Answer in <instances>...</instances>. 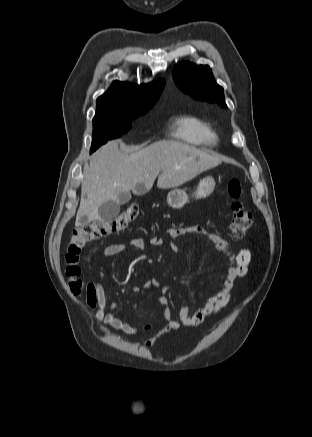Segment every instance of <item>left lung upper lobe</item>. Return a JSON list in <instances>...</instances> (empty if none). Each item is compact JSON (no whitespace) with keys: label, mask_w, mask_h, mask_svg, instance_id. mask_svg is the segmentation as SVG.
Wrapping results in <instances>:
<instances>
[{"label":"left lung upper lobe","mask_w":312,"mask_h":437,"mask_svg":"<svg viewBox=\"0 0 312 437\" xmlns=\"http://www.w3.org/2000/svg\"><path fill=\"white\" fill-rule=\"evenodd\" d=\"M173 78L176 85L192 98L227 107L223 88L215 82L209 66H196L189 62L179 63L174 69Z\"/></svg>","instance_id":"left-lung-upper-lobe-1"}]
</instances>
